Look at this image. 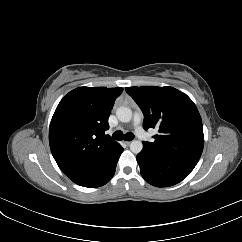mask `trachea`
Segmentation results:
<instances>
[{"label":"trachea","mask_w":242,"mask_h":242,"mask_svg":"<svg viewBox=\"0 0 242 242\" xmlns=\"http://www.w3.org/2000/svg\"><path fill=\"white\" fill-rule=\"evenodd\" d=\"M113 138L115 140H126V141H131L134 139V134L131 132L126 133L125 135L123 134L122 131H116L113 133Z\"/></svg>","instance_id":"1"}]
</instances>
